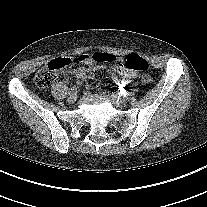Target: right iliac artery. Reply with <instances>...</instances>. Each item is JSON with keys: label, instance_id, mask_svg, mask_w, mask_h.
Instances as JSON below:
<instances>
[{"label": "right iliac artery", "instance_id": "1", "mask_svg": "<svg viewBox=\"0 0 207 207\" xmlns=\"http://www.w3.org/2000/svg\"><path fill=\"white\" fill-rule=\"evenodd\" d=\"M77 93V87L76 86H72L70 89H69V94H76Z\"/></svg>", "mask_w": 207, "mask_h": 207}]
</instances>
